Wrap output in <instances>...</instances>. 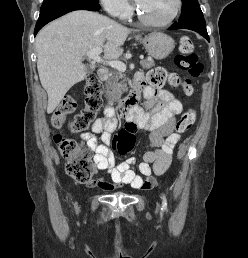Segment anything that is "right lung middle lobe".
Here are the masks:
<instances>
[{"label":"right lung middle lobe","instance_id":"obj_1","mask_svg":"<svg viewBox=\"0 0 248 258\" xmlns=\"http://www.w3.org/2000/svg\"><path fill=\"white\" fill-rule=\"evenodd\" d=\"M86 1L99 3L98 0H44L41 6L40 14L58 7Z\"/></svg>","mask_w":248,"mask_h":258}]
</instances>
